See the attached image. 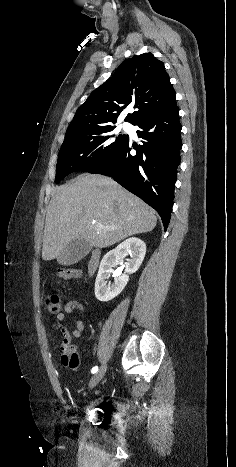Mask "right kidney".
<instances>
[{
    "instance_id": "1",
    "label": "right kidney",
    "mask_w": 236,
    "mask_h": 467,
    "mask_svg": "<svg viewBox=\"0 0 236 467\" xmlns=\"http://www.w3.org/2000/svg\"><path fill=\"white\" fill-rule=\"evenodd\" d=\"M127 254L131 259L124 263L125 273L121 269L113 270L118 264H123ZM146 254V245L139 238H129L110 250L101 260L98 275L95 282V297L102 302H107L118 296L129 281V275L135 273L142 264ZM113 273L114 282L108 283L110 274Z\"/></svg>"
}]
</instances>
